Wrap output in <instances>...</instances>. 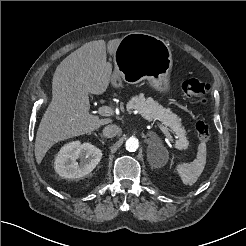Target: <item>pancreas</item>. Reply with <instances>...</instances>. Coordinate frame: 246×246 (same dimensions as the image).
<instances>
[{"mask_svg": "<svg viewBox=\"0 0 246 246\" xmlns=\"http://www.w3.org/2000/svg\"><path fill=\"white\" fill-rule=\"evenodd\" d=\"M127 111L135 109L148 121L159 120L162 124L170 127L177 135L176 147L185 149L189 141L185 136V130L181 119L170 109L163 107L153 98H145L143 94L132 97L126 105Z\"/></svg>", "mask_w": 246, "mask_h": 246, "instance_id": "obj_1", "label": "pancreas"}]
</instances>
